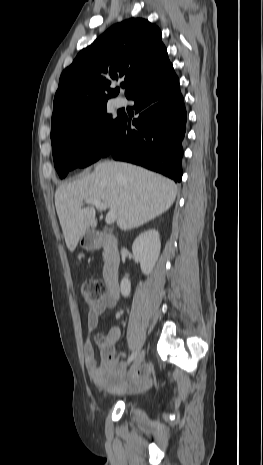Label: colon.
I'll list each match as a JSON object with an SVG mask.
<instances>
[{
	"mask_svg": "<svg viewBox=\"0 0 263 465\" xmlns=\"http://www.w3.org/2000/svg\"><path fill=\"white\" fill-rule=\"evenodd\" d=\"M81 294L85 301L93 305L102 300L106 294V286L103 282L95 279H89L83 282L81 286ZM97 342L101 347L103 356V369L112 367L113 358V340L110 336H97Z\"/></svg>",
	"mask_w": 263,
	"mask_h": 465,
	"instance_id": "1",
	"label": "colon"
}]
</instances>
